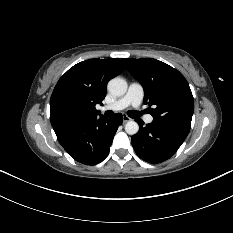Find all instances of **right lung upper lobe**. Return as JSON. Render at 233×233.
<instances>
[{"label":"right lung upper lobe","instance_id":"right-lung-upper-lobe-1","mask_svg":"<svg viewBox=\"0 0 233 233\" xmlns=\"http://www.w3.org/2000/svg\"><path fill=\"white\" fill-rule=\"evenodd\" d=\"M124 69L119 58L89 59L70 68L56 84L50 99L52 126L96 116V104H102L108 81Z\"/></svg>","mask_w":233,"mask_h":233}]
</instances>
